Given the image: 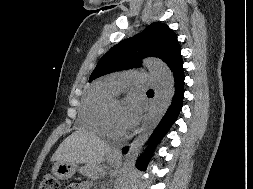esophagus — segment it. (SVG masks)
I'll use <instances>...</instances> for the list:
<instances>
[{"label": "esophagus", "mask_w": 253, "mask_h": 189, "mask_svg": "<svg viewBox=\"0 0 253 189\" xmlns=\"http://www.w3.org/2000/svg\"><path fill=\"white\" fill-rule=\"evenodd\" d=\"M115 154H119V151L116 150V151H115Z\"/></svg>", "instance_id": "1"}]
</instances>
